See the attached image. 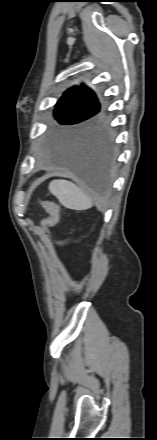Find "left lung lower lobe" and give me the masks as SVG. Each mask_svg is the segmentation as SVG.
I'll list each match as a JSON object with an SVG mask.
<instances>
[{"label": "left lung lower lobe", "mask_w": 157, "mask_h": 440, "mask_svg": "<svg viewBox=\"0 0 157 440\" xmlns=\"http://www.w3.org/2000/svg\"><path fill=\"white\" fill-rule=\"evenodd\" d=\"M64 165L93 189L105 191L115 162L113 135L105 129L85 137L73 138L67 146Z\"/></svg>", "instance_id": "0a47b994"}]
</instances>
